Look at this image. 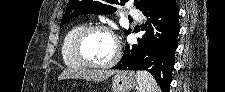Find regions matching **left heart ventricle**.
<instances>
[{"label":"left heart ventricle","mask_w":225,"mask_h":92,"mask_svg":"<svg viewBox=\"0 0 225 92\" xmlns=\"http://www.w3.org/2000/svg\"><path fill=\"white\" fill-rule=\"evenodd\" d=\"M83 50L93 62L106 63L115 54L114 40L104 31H95L84 41Z\"/></svg>","instance_id":"b2bd125f"}]
</instances>
